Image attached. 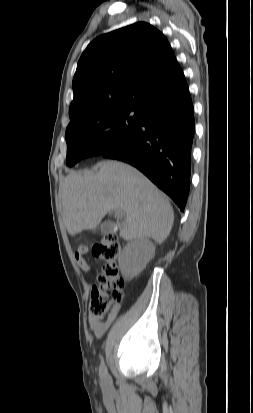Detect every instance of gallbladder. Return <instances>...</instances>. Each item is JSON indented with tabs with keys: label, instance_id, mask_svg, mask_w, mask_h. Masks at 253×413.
I'll use <instances>...</instances> for the list:
<instances>
[{
	"label": "gallbladder",
	"instance_id": "gallbladder-1",
	"mask_svg": "<svg viewBox=\"0 0 253 413\" xmlns=\"http://www.w3.org/2000/svg\"><path fill=\"white\" fill-rule=\"evenodd\" d=\"M115 230V225L111 221H105L100 225V231L103 234L111 233L114 232Z\"/></svg>",
	"mask_w": 253,
	"mask_h": 413
}]
</instances>
